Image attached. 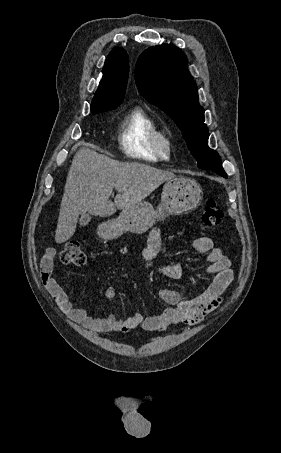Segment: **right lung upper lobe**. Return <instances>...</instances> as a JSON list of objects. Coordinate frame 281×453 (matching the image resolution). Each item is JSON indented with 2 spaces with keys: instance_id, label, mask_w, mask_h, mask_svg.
I'll return each mask as SVG.
<instances>
[{
  "instance_id": "1",
  "label": "right lung upper lobe",
  "mask_w": 281,
  "mask_h": 453,
  "mask_svg": "<svg viewBox=\"0 0 281 453\" xmlns=\"http://www.w3.org/2000/svg\"><path fill=\"white\" fill-rule=\"evenodd\" d=\"M128 75V55L123 48L117 47L105 61L103 77L91 103L92 114L113 110L122 103Z\"/></svg>"
}]
</instances>
